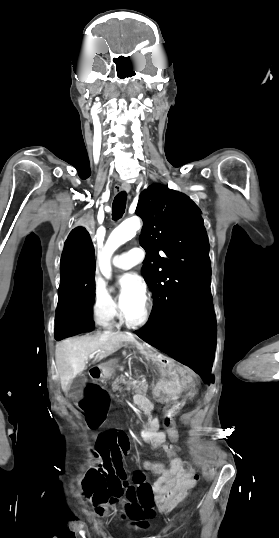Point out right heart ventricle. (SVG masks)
<instances>
[{"mask_svg":"<svg viewBox=\"0 0 279 538\" xmlns=\"http://www.w3.org/2000/svg\"><path fill=\"white\" fill-rule=\"evenodd\" d=\"M136 218L134 216V212L127 211L121 219L119 220L116 228L113 231V235L120 237L126 234H131L133 232V227L135 224Z\"/></svg>","mask_w":279,"mask_h":538,"instance_id":"obj_1","label":"right heart ventricle"}]
</instances>
